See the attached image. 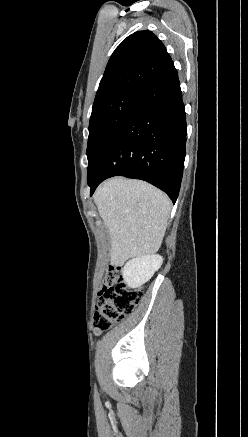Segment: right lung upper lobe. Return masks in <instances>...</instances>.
<instances>
[{
  "label": "right lung upper lobe",
  "instance_id": "obj_1",
  "mask_svg": "<svg viewBox=\"0 0 248 437\" xmlns=\"http://www.w3.org/2000/svg\"><path fill=\"white\" fill-rule=\"evenodd\" d=\"M171 62L165 46L152 32L131 34L110 57L92 110L125 92H140Z\"/></svg>",
  "mask_w": 248,
  "mask_h": 437
}]
</instances>
